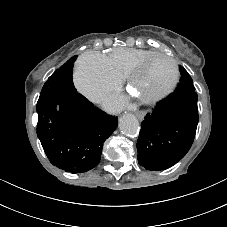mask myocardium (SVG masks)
Listing matches in <instances>:
<instances>
[{
    "label": "myocardium",
    "instance_id": "f54148a6",
    "mask_svg": "<svg viewBox=\"0 0 227 227\" xmlns=\"http://www.w3.org/2000/svg\"><path fill=\"white\" fill-rule=\"evenodd\" d=\"M158 57H164V58H167L171 61L172 65H173V77H172L170 84L164 90L157 92V93H154V94L147 96V97H138V99L144 104H153V103H156V102L162 100L163 98L168 96L176 88L178 81H179V67H178V63H177L176 59L173 56L166 54L164 52H156V53H153V54L147 56L143 60H141L129 72V74L127 76L128 87L133 90V87H134V84H135L137 77L142 73L144 68L152 60H154Z\"/></svg>",
    "mask_w": 227,
    "mask_h": 227
}]
</instances>
